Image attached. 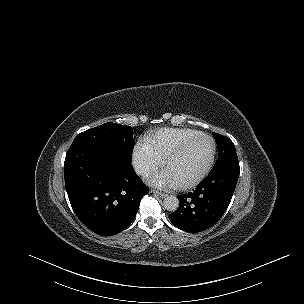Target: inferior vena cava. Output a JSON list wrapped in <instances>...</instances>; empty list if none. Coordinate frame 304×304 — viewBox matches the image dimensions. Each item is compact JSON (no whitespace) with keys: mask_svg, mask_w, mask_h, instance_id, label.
Listing matches in <instances>:
<instances>
[{"mask_svg":"<svg viewBox=\"0 0 304 304\" xmlns=\"http://www.w3.org/2000/svg\"><path fill=\"white\" fill-rule=\"evenodd\" d=\"M134 170H135L136 174H138L140 176L148 175L150 172L149 168L146 165L141 164V163H136L134 165Z\"/></svg>","mask_w":304,"mask_h":304,"instance_id":"inferior-vena-cava-1","label":"inferior vena cava"}]
</instances>
